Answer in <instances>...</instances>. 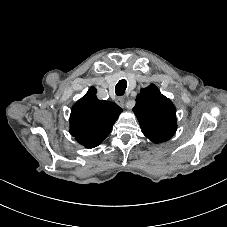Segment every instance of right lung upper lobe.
Wrapping results in <instances>:
<instances>
[{"mask_svg": "<svg viewBox=\"0 0 227 227\" xmlns=\"http://www.w3.org/2000/svg\"><path fill=\"white\" fill-rule=\"evenodd\" d=\"M91 87L71 110L70 133L86 148H94L110 134L122 109L110 101H101Z\"/></svg>", "mask_w": 227, "mask_h": 227, "instance_id": "obj_1", "label": "right lung upper lobe"}]
</instances>
